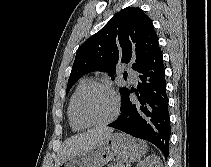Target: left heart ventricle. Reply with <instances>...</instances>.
<instances>
[{
	"label": "left heart ventricle",
	"mask_w": 211,
	"mask_h": 167,
	"mask_svg": "<svg viewBox=\"0 0 211 167\" xmlns=\"http://www.w3.org/2000/svg\"><path fill=\"white\" fill-rule=\"evenodd\" d=\"M114 110L113 98L105 89L94 87L87 90L78 102L79 116L90 122L108 119Z\"/></svg>",
	"instance_id": "obj_1"
}]
</instances>
